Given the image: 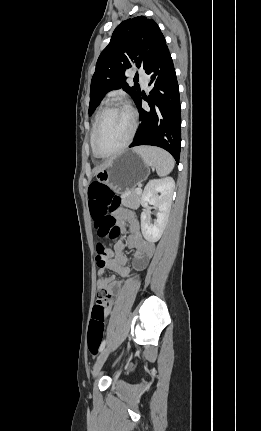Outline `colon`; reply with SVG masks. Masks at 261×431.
Instances as JSON below:
<instances>
[{"mask_svg": "<svg viewBox=\"0 0 261 431\" xmlns=\"http://www.w3.org/2000/svg\"><path fill=\"white\" fill-rule=\"evenodd\" d=\"M89 209L94 220L97 234L102 239H116L120 229L116 224L113 212L117 208L119 198L105 184L95 181L88 188ZM113 257L110 249L99 244L97 248V265H104ZM113 301V298L104 290H99L96 296V304L92 311L88 331V347L95 354L102 341L105 330L104 309L105 304ZM119 364H124V359H119Z\"/></svg>", "mask_w": 261, "mask_h": 431, "instance_id": "obj_1", "label": "colon"}]
</instances>
